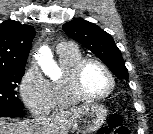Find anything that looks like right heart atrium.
Returning a JSON list of instances; mask_svg holds the SVG:
<instances>
[{
	"label": "right heart atrium",
	"instance_id": "obj_1",
	"mask_svg": "<svg viewBox=\"0 0 153 134\" xmlns=\"http://www.w3.org/2000/svg\"><path fill=\"white\" fill-rule=\"evenodd\" d=\"M20 96L31 114L40 116L50 111L49 81L35 64H31L22 76Z\"/></svg>",
	"mask_w": 153,
	"mask_h": 134
}]
</instances>
